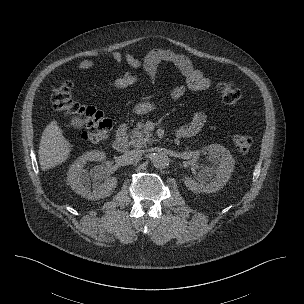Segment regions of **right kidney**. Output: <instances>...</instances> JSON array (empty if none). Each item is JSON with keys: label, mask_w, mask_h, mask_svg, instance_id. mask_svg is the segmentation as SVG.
Instances as JSON below:
<instances>
[{"label": "right kidney", "mask_w": 304, "mask_h": 304, "mask_svg": "<svg viewBox=\"0 0 304 304\" xmlns=\"http://www.w3.org/2000/svg\"><path fill=\"white\" fill-rule=\"evenodd\" d=\"M104 158L103 152L90 151L80 156L70 166L67 180L77 194L88 200H98L109 196L114 191L117 179L109 176L104 166H95L90 173H86L83 169L88 161H101Z\"/></svg>", "instance_id": "1"}]
</instances>
